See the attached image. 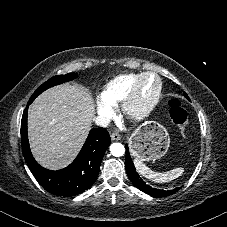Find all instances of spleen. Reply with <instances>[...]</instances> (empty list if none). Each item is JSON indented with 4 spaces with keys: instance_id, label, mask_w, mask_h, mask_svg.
I'll return each instance as SVG.
<instances>
[{
    "instance_id": "1",
    "label": "spleen",
    "mask_w": 227,
    "mask_h": 227,
    "mask_svg": "<svg viewBox=\"0 0 227 227\" xmlns=\"http://www.w3.org/2000/svg\"><path fill=\"white\" fill-rule=\"evenodd\" d=\"M134 165H135L137 172L141 176H143L149 180H152L154 182H159V183L170 182V181L178 178L179 176H181L182 173L184 172V169L181 167L175 168L173 170H170V171L164 172V173L155 172V171L151 170L149 167H147L142 161H140L137 158L134 159Z\"/></svg>"
}]
</instances>
